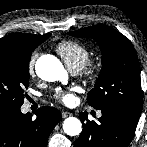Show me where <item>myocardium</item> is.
<instances>
[{
	"label": "myocardium",
	"mask_w": 147,
	"mask_h": 147,
	"mask_svg": "<svg viewBox=\"0 0 147 147\" xmlns=\"http://www.w3.org/2000/svg\"><path fill=\"white\" fill-rule=\"evenodd\" d=\"M102 65L98 60H88L82 67V73L89 79H95L98 77L101 71Z\"/></svg>",
	"instance_id": "myocardium-1"
}]
</instances>
